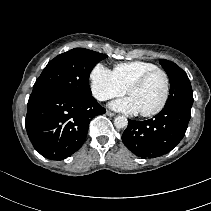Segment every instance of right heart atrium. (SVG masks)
Here are the masks:
<instances>
[{"label":"right heart atrium","mask_w":211,"mask_h":211,"mask_svg":"<svg viewBox=\"0 0 211 211\" xmlns=\"http://www.w3.org/2000/svg\"><path fill=\"white\" fill-rule=\"evenodd\" d=\"M90 87L93 96L99 101L119 97L126 92L113 72L100 63L91 69Z\"/></svg>","instance_id":"1"}]
</instances>
